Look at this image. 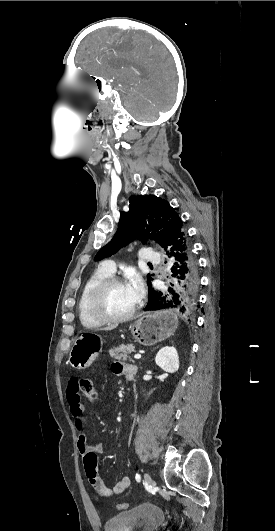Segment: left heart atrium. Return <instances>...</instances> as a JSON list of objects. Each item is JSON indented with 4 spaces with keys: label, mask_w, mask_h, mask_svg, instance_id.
I'll return each instance as SVG.
<instances>
[{
    "label": "left heart atrium",
    "mask_w": 275,
    "mask_h": 531,
    "mask_svg": "<svg viewBox=\"0 0 275 531\" xmlns=\"http://www.w3.org/2000/svg\"><path fill=\"white\" fill-rule=\"evenodd\" d=\"M127 284L129 286V289L134 297V299L136 301H138V299L140 298V295H141V291H142V279L140 277V275L135 272V271H132L129 275H128V278H127Z\"/></svg>",
    "instance_id": "39dd6f15"
}]
</instances>
